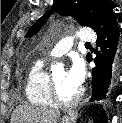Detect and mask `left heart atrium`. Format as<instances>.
Listing matches in <instances>:
<instances>
[{
    "label": "left heart atrium",
    "mask_w": 122,
    "mask_h": 123,
    "mask_svg": "<svg viewBox=\"0 0 122 123\" xmlns=\"http://www.w3.org/2000/svg\"><path fill=\"white\" fill-rule=\"evenodd\" d=\"M66 77L71 85L78 88L81 87L85 79V68L80 59L75 58L73 60L70 68L66 72Z\"/></svg>",
    "instance_id": "left-heart-atrium-1"
}]
</instances>
